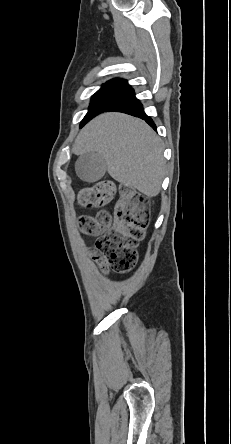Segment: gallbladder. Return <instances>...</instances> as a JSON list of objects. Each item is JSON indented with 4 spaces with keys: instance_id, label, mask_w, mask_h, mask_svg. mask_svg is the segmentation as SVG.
I'll return each mask as SVG.
<instances>
[{
    "instance_id": "gallbladder-1",
    "label": "gallbladder",
    "mask_w": 231,
    "mask_h": 444,
    "mask_svg": "<svg viewBox=\"0 0 231 444\" xmlns=\"http://www.w3.org/2000/svg\"><path fill=\"white\" fill-rule=\"evenodd\" d=\"M76 173L86 182H95L101 179L106 172L105 159L96 152L81 155L75 165Z\"/></svg>"
}]
</instances>
